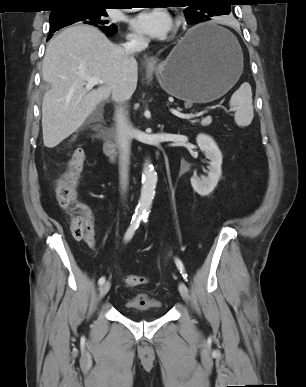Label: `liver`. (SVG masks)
I'll list each match as a JSON object with an SVG mask.
<instances>
[{
	"mask_svg": "<svg viewBox=\"0 0 306 387\" xmlns=\"http://www.w3.org/2000/svg\"><path fill=\"white\" fill-rule=\"evenodd\" d=\"M126 58L121 46L89 25L66 28L49 42L42 68L43 80L50 84L42 103L46 147L53 148L72 135L123 83L135 91L137 62L129 57L126 64ZM89 77H98L103 83L86 90Z\"/></svg>",
	"mask_w": 306,
	"mask_h": 387,
	"instance_id": "6515ba94",
	"label": "liver"
}]
</instances>
